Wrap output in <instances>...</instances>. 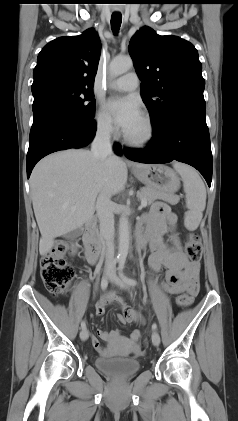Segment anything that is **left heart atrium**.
<instances>
[{"label": "left heart atrium", "mask_w": 238, "mask_h": 421, "mask_svg": "<svg viewBox=\"0 0 238 421\" xmlns=\"http://www.w3.org/2000/svg\"><path fill=\"white\" fill-rule=\"evenodd\" d=\"M106 109L124 131L141 117L139 105L132 97L111 98L106 103Z\"/></svg>", "instance_id": "1"}]
</instances>
